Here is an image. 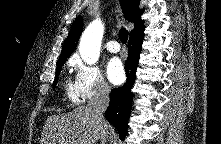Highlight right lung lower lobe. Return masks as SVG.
<instances>
[{
    "mask_svg": "<svg viewBox=\"0 0 221 144\" xmlns=\"http://www.w3.org/2000/svg\"><path fill=\"white\" fill-rule=\"evenodd\" d=\"M143 31L144 29L130 35L129 55L125 63L127 81L122 87L112 89L110 104L105 113L106 119L117 129L121 139H124L127 134L131 102L133 100L131 89L135 80V71L144 38Z\"/></svg>",
    "mask_w": 221,
    "mask_h": 144,
    "instance_id": "1",
    "label": "right lung lower lobe"
}]
</instances>
